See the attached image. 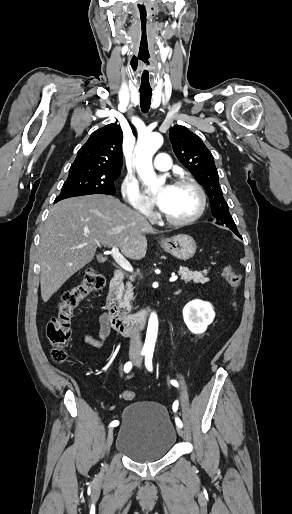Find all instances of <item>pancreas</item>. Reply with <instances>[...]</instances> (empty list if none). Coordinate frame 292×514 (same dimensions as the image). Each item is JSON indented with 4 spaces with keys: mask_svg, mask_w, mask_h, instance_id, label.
Listing matches in <instances>:
<instances>
[{
    "mask_svg": "<svg viewBox=\"0 0 292 514\" xmlns=\"http://www.w3.org/2000/svg\"><path fill=\"white\" fill-rule=\"evenodd\" d=\"M178 274L181 276L180 280H184V282H191V280H193L194 284H199V282H201V284H205V282H208V278H204L203 276V274H208L207 270H203V272H190L188 268H179ZM126 286V290H124V286H119V292L116 300H118L120 308H127V310H130V302L131 300H134V288L130 282H128Z\"/></svg>",
    "mask_w": 292,
    "mask_h": 514,
    "instance_id": "1",
    "label": "pancreas"
}]
</instances>
